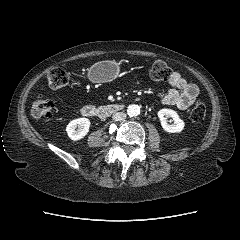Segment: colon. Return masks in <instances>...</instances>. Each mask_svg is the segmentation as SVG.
<instances>
[{"mask_svg":"<svg viewBox=\"0 0 240 240\" xmlns=\"http://www.w3.org/2000/svg\"><path fill=\"white\" fill-rule=\"evenodd\" d=\"M171 70L163 61H156L150 69V75L154 80L166 81L169 79ZM69 73L60 67L53 68L47 78L46 86L51 89H60L69 83ZM53 111V103L44 95L37 97L32 104V114L35 117H49ZM206 115V104L203 101L196 103L190 113V119L193 123H201Z\"/></svg>","mask_w":240,"mask_h":240,"instance_id":"1","label":"colon"}]
</instances>
